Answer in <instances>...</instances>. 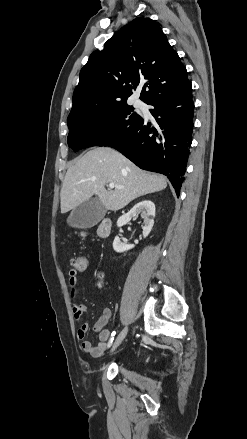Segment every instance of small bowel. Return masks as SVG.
<instances>
[{
	"mask_svg": "<svg viewBox=\"0 0 247 439\" xmlns=\"http://www.w3.org/2000/svg\"><path fill=\"white\" fill-rule=\"evenodd\" d=\"M69 288L71 295L74 297L78 289V272L72 269L69 271ZM87 311V307L83 304L74 303L72 306V312L75 319L81 321L77 330V337L81 341V348L84 353L89 354L92 357H100L109 346L108 340H110L111 335L110 331L106 329L105 326L108 324L112 316V311L108 307L104 308L100 317L92 327L94 332L99 333V343L97 345H92L89 341L85 340L89 330V324L86 321H82V319Z\"/></svg>",
	"mask_w": 247,
	"mask_h": 439,
	"instance_id": "obj_1",
	"label": "small bowel"
}]
</instances>
